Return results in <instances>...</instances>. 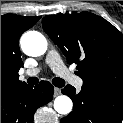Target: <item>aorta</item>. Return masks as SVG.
Wrapping results in <instances>:
<instances>
[{"mask_svg":"<svg viewBox=\"0 0 123 123\" xmlns=\"http://www.w3.org/2000/svg\"><path fill=\"white\" fill-rule=\"evenodd\" d=\"M48 43L44 35L37 31H29L21 37V48L26 55L38 57L42 56L47 51ZM72 100L61 95L54 100V109L62 115H67L72 111Z\"/></svg>","mask_w":123,"mask_h":123,"instance_id":"1","label":"aorta"}]
</instances>
